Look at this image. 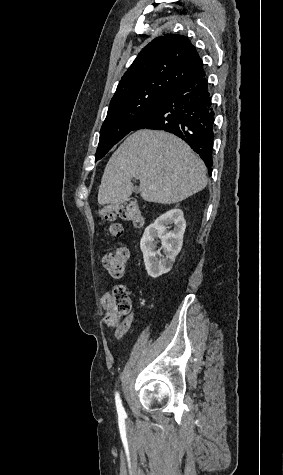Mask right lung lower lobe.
I'll return each mask as SVG.
<instances>
[{
	"mask_svg": "<svg viewBox=\"0 0 283 475\" xmlns=\"http://www.w3.org/2000/svg\"><path fill=\"white\" fill-rule=\"evenodd\" d=\"M214 115L205 75L187 80L173 88L133 130H163L180 137L199 154L211 175Z\"/></svg>",
	"mask_w": 283,
	"mask_h": 475,
	"instance_id": "98d812e1",
	"label": "right lung lower lobe"
}]
</instances>
